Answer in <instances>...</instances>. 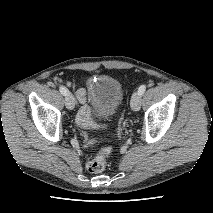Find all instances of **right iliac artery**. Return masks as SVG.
Instances as JSON below:
<instances>
[{"instance_id": "obj_1", "label": "right iliac artery", "mask_w": 213, "mask_h": 213, "mask_svg": "<svg viewBox=\"0 0 213 213\" xmlns=\"http://www.w3.org/2000/svg\"><path fill=\"white\" fill-rule=\"evenodd\" d=\"M59 91H60L61 94H63L64 96H66L67 93H68V90H67L66 87H64V86H60V87H59Z\"/></svg>"}]
</instances>
